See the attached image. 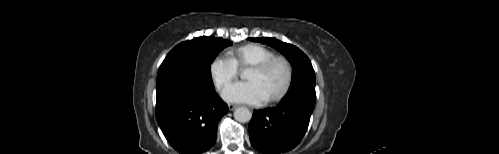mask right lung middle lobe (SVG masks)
I'll use <instances>...</instances> for the list:
<instances>
[{
  "label": "right lung middle lobe",
  "mask_w": 499,
  "mask_h": 154,
  "mask_svg": "<svg viewBox=\"0 0 499 154\" xmlns=\"http://www.w3.org/2000/svg\"><path fill=\"white\" fill-rule=\"evenodd\" d=\"M232 42L203 36L174 47L161 64L156 82L157 93L184 87L196 90L213 89L210 65L216 55Z\"/></svg>",
  "instance_id": "obj_1"
}]
</instances>
